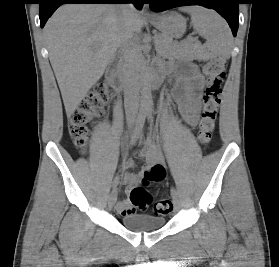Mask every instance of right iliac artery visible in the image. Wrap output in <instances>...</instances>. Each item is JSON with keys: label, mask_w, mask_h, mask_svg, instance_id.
<instances>
[{"label": "right iliac artery", "mask_w": 279, "mask_h": 267, "mask_svg": "<svg viewBox=\"0 0 279 267\" xmlns=\"http://www.w3.org/2000/svg\"><path fill=\"white\" fill-rule=\"evenodd\" d=\"M145 118H146V115L145 114H140L138 116V119H137V122H136V125H135V128L133 130V134L131 136V141H130V145H133L136 140L139 138V135L143 129V126H144V123H145ZM119 183V177L116 176L113 180V183H112V188L115 190L117 185Z\"/></svg>", "instance_id": "82829eb1"}]
</instances>
